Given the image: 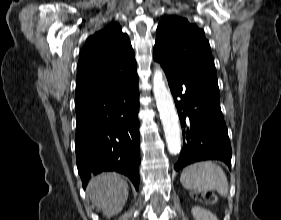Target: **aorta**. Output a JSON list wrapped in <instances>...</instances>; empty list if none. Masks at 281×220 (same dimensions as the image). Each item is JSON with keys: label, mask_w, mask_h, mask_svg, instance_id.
<instances>
[{"label": "aorta", "mask_w": 281, "mask_h": 220, "mask_svg": "<svg viewBox=\"0 0 281 220\" xmlns=\"http://www.w3.org/2000/svg\"><path fill=\"white\" fill-rule=\"evenodd\" d=\"M153 93L162 121L168 151L170 154H177L181 148L179 119L172 95L165 85L161 69L154 71Z\"/></svg>", "instance_id": "aorta-1"}]
</instances>
